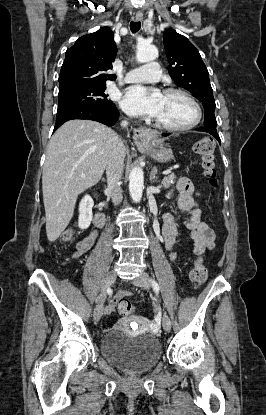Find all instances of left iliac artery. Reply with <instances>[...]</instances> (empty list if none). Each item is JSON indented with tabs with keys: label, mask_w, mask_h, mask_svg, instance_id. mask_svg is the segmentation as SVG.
Here are the masks:
<instances>
[{
	"label": "left iliac artery",
	"mask_w": 266,
	"mask_h": 415,
	"mask_svg": "<svg viewBox=\"0 0 266 415\" xmlns=\"http://www.w3.org/2000/svg\"><path fill=\"white\" fill-rule=\"evenodd\" d=\"M151 283H152L154 290H159V285L157 284L155 280H151Z\"/></svg>",
	"instance_id": "44dca946"
}]
</instances>
